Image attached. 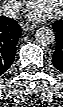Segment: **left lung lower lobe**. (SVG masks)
<instances>
[{
  "mask_svg": "<svg viewBox=\"0 0 63 107\" xmlns=\"http://www.w3.org/2000/svg\"><path fill=\"white\" fill-rule=\"evenodd\" d=\"M53 29L56 34V48L52 62L63 73V19L53 24Z\"/></svg>",
  "mask_w": 63,
  "mask_h": 107,
  "instance_id": "1",
  "label": "left lung lower lobe"
}]
</instances>
